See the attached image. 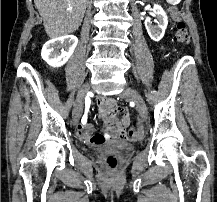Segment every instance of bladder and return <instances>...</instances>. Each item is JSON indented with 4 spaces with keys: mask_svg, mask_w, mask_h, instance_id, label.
<instances>
[{
    "mask_svg": "<svg viewBox=\"0 0 217 202\" xmlns=\"http://www.w3.org/2000/svg\"><path fill=\"white\" fill-rule=\"evenodd\" d=\"M133 147L130 143H122L117 141H109L106 148L109 150H116V151H129Z\"/></svg>",
    "mask_w": 217,
    "mask_h": 202,
    "instance_id": "bladder-1",
    "label": "bladder"
}]
</instances>
